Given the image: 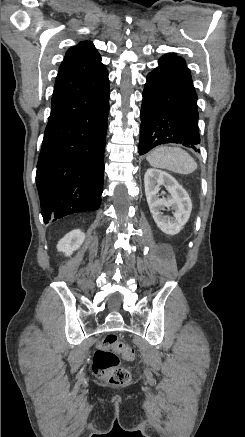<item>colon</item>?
Returning a JSON list of instances; mask_svg holds the SVG:
<instances>
[{"label": "colon", "instance_id": "1", "mask_svg": "<svg viewBox=\"0 0 245 437\" xmlns=\"http://www.w3.org/2000/svg\"><path fill=\"white\" fill-rule=\"evenodd\" d=\"M120 353L124 358H135V350L118 341L114 334L105 335L98 344L92 362V371L96 377L112 385H124L129 382L131 376L127 369L119 366Z\"/></svg>", "mask_w": 245, "mask_h": 437}]
</instances>
